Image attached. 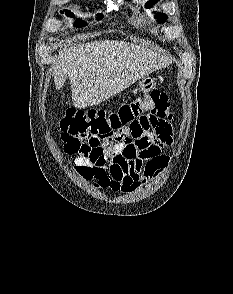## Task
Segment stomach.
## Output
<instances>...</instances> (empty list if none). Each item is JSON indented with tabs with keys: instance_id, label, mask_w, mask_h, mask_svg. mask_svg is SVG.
Instances as JSON below:
<instances>
[{
	"instance_id": "1",
	"label": "stomach",
	"mask_w": 233,
	"mask_h": 294,
	"mask_svg": "<svg viewBox=\"0 0 233 294\" xmlns=\"http://www.w3.org/2000/svg\"><path fill=\"white\" fill-rule=\"evenodd\" d=\"M156 86V80L150 76H146L137 82L136 88L141 91H150Z\"/></svg>"
}]
</instances>
